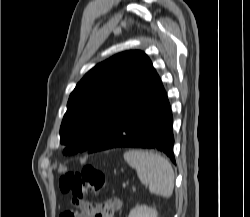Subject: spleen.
<instances>
[{"label": "spleen", "instance_id": "obj_1", "mask_svg": "<svg viewBox=\"0 0 250 217\" xmlns=\"http://www.w3.org/2000/svg\"><path fill=\"white\" fill-rule=\"evenodd\" d=\"M125 161L133 167L143 184L149 185L151 194L169 198L174 188V171L169 161L152 151L129 150Z\"/></svg>", "mask_w": 250, "mask_h": 217}]
</instances>
